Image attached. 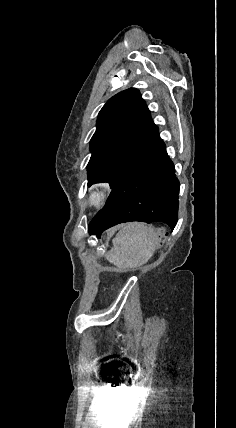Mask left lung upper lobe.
I'll return each instance as SVG.
<instances>
[{
	"label": "left lung upper lobe",
	"instance_id": "left-lung-upper-lobe-1",
	"mask_svg": "<svg viewBox=\"0 0 236 428\" xmlns=\"http://www.w3.org/2000/svg\"><path fill=\"white\" fill-rule=\"evenodd\" d=\"M154 128L137 89L124 90L109 99L99 112L90 142L88 186L106 181L113 189Z\"/></svg>",
	"mask_w": 236,
	"mask_h": 428
}]
</instances>
